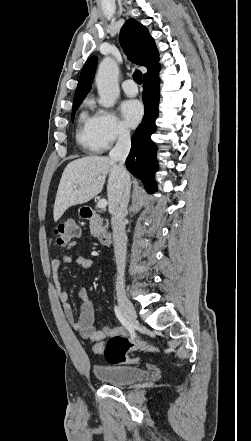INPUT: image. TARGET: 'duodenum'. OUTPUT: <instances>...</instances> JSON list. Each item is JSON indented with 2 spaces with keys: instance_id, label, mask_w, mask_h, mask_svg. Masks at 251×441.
Masks as SVG:
<instances>
[{
  "instance_id": "410a0bca",
  "label": "duodenum",
  "mask_w": 251,
  "mask_h": 441,
  "mask_svg": "<svg viewBox=\"0 0 251 441\" xmlns=\"http://www.w3.org/2000/svg\"><path fill=\"white\" fill-rule=\"evenodd\" d=\"M81 215L85 219H93L95 217V212L92 208L84 207L81 210ZM98 239L103 246H109L112 241V236L108 231H101Z\"/></svg>"
}]
</instances>
